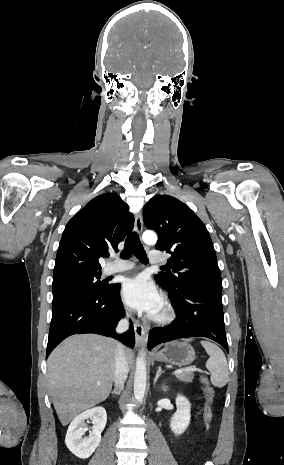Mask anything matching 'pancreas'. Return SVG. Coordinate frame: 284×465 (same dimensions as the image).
I'll list each match as a JSON object with an SVG mask.
<instances>
[{"mask_svg": "<svg viewBox=\"0 0 284 465\" xmlns=\"http://www.w3.org/2000/svg\"><path fill=\"white\" fill-rule=\"evenodd\" d=\"M177 379L180 381H184V383H192V379H194V373H179L176 375Z\"/></svg>", "mask_w": 284, "mask_h": 465, "instance_id": "1", "label": "pancreas"}]
</instances>
